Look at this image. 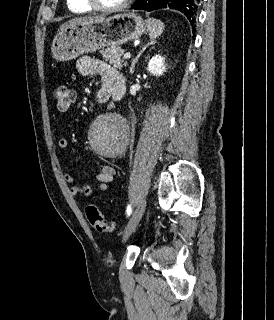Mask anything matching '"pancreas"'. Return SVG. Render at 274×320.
Masks as SVG:
<instances>
[{
  "label": "pancreas",
  "instance_id": "cf45deb5",
  "mask_svg": "<svg viewBox=\"0 0 274 320\" xmlns=\"http://www.w3.org/2000/svg\"><path fill=\"white\" fill-rule=\"evenodd\" d=\"M123 52L124 50H121V48H107V50H103L101 54L104 60H107L109 64H113L115 68H119V70H122L123 66H127V62L121 60Z\"/></svg>",
  "mask_w": 274,
  "mask_h": 320
}]
</instances>
